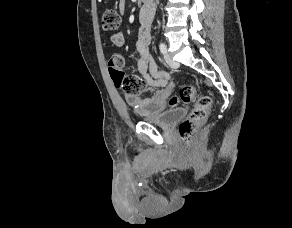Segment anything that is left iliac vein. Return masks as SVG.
Masks as SVG:
<instances>
[{
    "instance_id": "4c4485c4",
    "label": "left iliac vein",
    "mask_w": 292,
    "mask_h": 228,
    "mask_svg": "<svg viewBox=\"0 0 292 228\" xmlns=\"http://www.w3.org/2000/svg\"><path fill=\"white\" fill-rule=\"evenodd\" d=\"M166 63L171 67V68H178L179 63L177 61H174L172 57L169 54H165L164 56Z\"/></svg>"
}]
</instances>
